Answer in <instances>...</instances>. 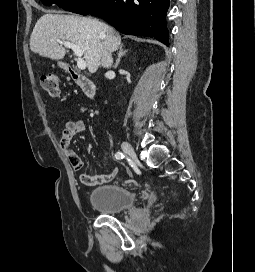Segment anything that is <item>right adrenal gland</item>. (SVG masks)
Instances as JSON below:
<instances>
[{"instance_id": "2a0ac1e0", "label": "right adrenal gland", "mask_w": 255, "mask_h": 272, "mask_svg": "<svg viewBox=\"0 0 255 272\" xmlns=\"http://www.w3.org/2000/svg\"><path fill=\"white\" fill-rule=\"evenodd\" d=\"M128 52V50H123V44L120 45L119 47V51H118V58L116 60V63L114 65V67H118L120 61H121V58Z\"/></svg>"}]
</instances>
